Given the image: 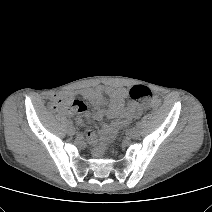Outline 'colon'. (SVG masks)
<instances>
[{
    "mask_svg": "<svg viewBox=\"0 0 212 212\" xmlns=\"http://www.w3.org/2000/svg\"><path fill=\"white\" fill-rule=\"evenodd\" d=\"M129 97L136 101H145L152 106H159L160 99L152 94L150 89L143 85L133 86L129 92ZM53 109L56 111L63 110H75L78 112H82L86 109L85 104L80 100H71L69 98H58L55 100L53 104ZM106 147V143L102 145V148Z\"/></svg>",
    "mask_w": 212,
    "mask_h": 212,
    "instance_id": "1",
    "label": "colon"
}]
</instances>
